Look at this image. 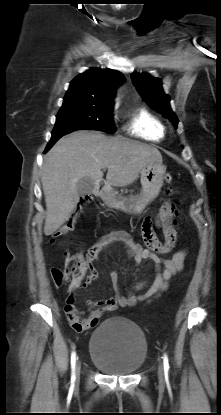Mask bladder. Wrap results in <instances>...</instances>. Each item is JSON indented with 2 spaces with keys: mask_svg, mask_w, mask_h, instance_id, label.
Returning <instances> with one entry per match:
<instances>
[{
  "mask_svg": "<svg viewBox=\"0 0 221 415\" xmlns=\"http://www.w3.org/2000/svg\"><path fill=\"white\" fill-rule=\"evenodd\" d=\"M147 340L141 328L125 317L103 321L91 334V362L102 372L122 376L136 372L147 356Z\"/></svg>",
  "mask_w": 221,
  "mask_h": 415,
  "instance_id": "bladder-1",
  "label": "bladder"
}]
</instances>
